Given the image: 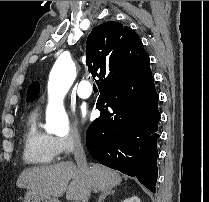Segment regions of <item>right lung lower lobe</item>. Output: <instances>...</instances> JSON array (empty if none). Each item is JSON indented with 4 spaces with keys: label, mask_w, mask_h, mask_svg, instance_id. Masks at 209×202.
<instances>
[{
    "label": "right lung lower lobe",
    "mask_w": 209,
    "mask_h": 202,
    "mask_svg": "<svg viewBox=\"0 0 209 202\" xmlns=\"http://www.w3.org/2000/svg\"><path fill=\"white\" fill-rule=\"evenodd\" d=\"M100 91V117L86 132L89 153L101 164L137 177L155 193L160 113L151 70L125 87Z\"/></svg>",
    "instance_id": "right-lung-lower-lobe-1"
}]
</instances>
